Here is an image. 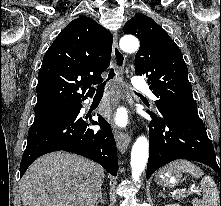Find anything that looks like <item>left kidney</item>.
I'll return each mask as SVG.
<instances>
[{
    "label": "left kidney",
    "mask_w": 221,
    "mask_h": 206,
    "mask_svg": "<svg viewBox=\"0 0 221 206\" xmlns=\"http://www.w3.org/2000/svg\"><path fill=\"white\" fill-rule=\"evenodd\" d=\"M165 206H181L180 204H168V205H165Z\"/></svg>",
    "instance_id": "obj_1"
}]
</instances>
